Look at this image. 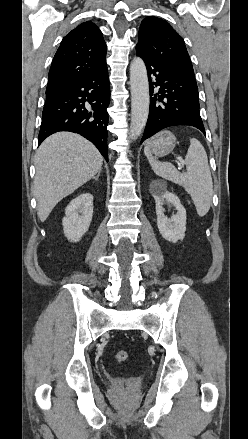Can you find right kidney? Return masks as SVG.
Listing matches in <instances>:
<instances>
[{
    "mask_svg": "<svg viewBox=\"0 0 248 439\" xmlns=\"http://www.w3.org/2000/svg\"><path fill=\"white\" fill-rule=\"evenodd\" d=\"M62 220L66 238L78 242L88 231L93 216V196L90 193L80 194L73 199L65 210Z\"/></svg>",
    "mask_w": 248,
    "mask_h": 439,
    "instance_id": "right-kidney-1",
    "label": "right kidney"
}]
</instances>
